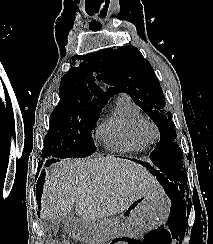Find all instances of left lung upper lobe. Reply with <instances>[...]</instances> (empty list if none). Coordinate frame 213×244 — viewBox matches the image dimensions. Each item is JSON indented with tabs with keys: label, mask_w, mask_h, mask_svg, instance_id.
I'll return each instance as SVG.
<instances>
[{
	"label": "left lung upper lobe",
	"mask_w": 213,
	"mask_h": 244,
	"mask_svg": "<svg viewBox=\"0 0 213 244\" xmlns=\"http://www.w3.org/2000/svg\"><path fill=\"white\" fill-rule=\"evenodd\" d=\"M96 71L98 79L108 87L104 93L107 100L117 93H128L152 118L159 128L161 140L150 158L165 165L169 180L177 189H187L182 151L174 142L176 132L172 115L165 110V95L149 61L134 46L105 49L101 51Z\"/></svg>",
	"instance_id": "1"
}]
</instances>
